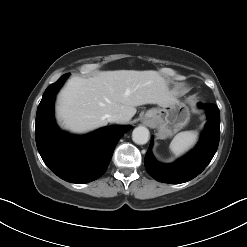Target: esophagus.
I'll return each mask as SVG.
<instances>
[{
  "label": "esophagus",
  "instance_id": "34e87169",
  "mask_svg": "<svg viewBox=\"0 0 247 247\" xmlns=\"http://www.w3.org/2000/svg\"><path fill=\"white\" fill-rule=\"evenodd\" d=\"M143 123H144V124H147V122H146V121H144Z\"/></svg>",
  "mask_w": 247,
  "mask_h": 247
}]
</instances>
